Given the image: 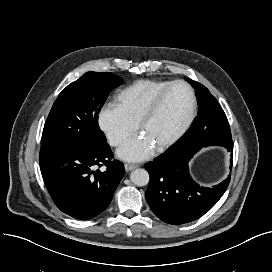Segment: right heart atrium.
<instances>
[{"label": "right heart atrium", "mask_w": 272, "mask_h": 272, "mask_svg": "<svg viewBox=\"0 0 272 272\" xmlns=\"http://www.w3.org/2000/svg\"><path fill=\"white\" fill-rule=\"evenodd\" d=\"M96 121L98 128L112 146H120L136 130V124L118 105L112 103L100 106Z\"/></svg>", "instance_id": "obj_1"}]
</instances>
